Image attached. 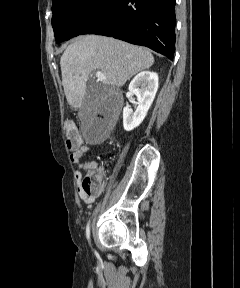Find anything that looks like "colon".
<instances>
[{"label":"colon","instance_id":"colon-1","mask_svg":"<svg viewBox=\"0 0 240 288\" xmlns=\"http://www.w3.org/2000/svg\"><path fill=\"white\" fill-rule=\"evenodd\" d=\"M64 132L66 135L67 147L70 150H75L81 146L82 139L73 122H65ZM101 186L102 181L99 175L88 174L82 183V190L86 196H94L100 192Z\"/></svg>","mask_w":240,"mask_h":288}]
</instances>
